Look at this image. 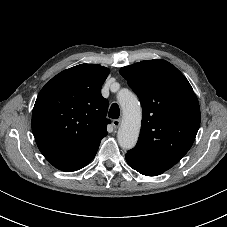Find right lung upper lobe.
<instances>
[{"mask_svg": "<svg viewBox=\"0 0 227 227\" xmlns=\"http://www.w3.org/2000/svg\"><path fill=\"white\" fill-rule=\"evenodd\" d=\"M110 70L80 64L53 77L40 91L32 113V131L43 156L70 172L95 157L107 135L108 101L101 87Z\"/></svg>", "mask_w": 227, "mask_h": 227, "instance_id": "1", "label": "right lung upper lobe"}]
</instances>
